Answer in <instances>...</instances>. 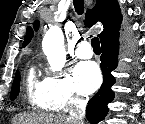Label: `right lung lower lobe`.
Here are the masks:
<instances>
[{"label":"right lung lower lobe","mask_w":145,"mask_h":124,"mask_svg":"<svg viewBox=\"0 0 145 124\" xmlns=\"http://www.w3.org/2000/svg\"><path fill=\"white\" fill-rule=\"evenodd\" d=\"M101 69L104 82L97 94L89 101L86 117L92 124H97L104 119L108 112V103L114 99V92L111 86L115 83L112 76L113 71L118 65L119 52V31L108 35L101 40Z\"/></svg>","instance_id":"98d812e1"}]
</instances>
